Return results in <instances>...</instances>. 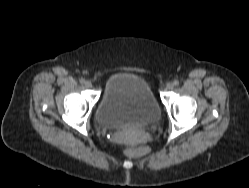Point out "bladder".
<instances>
[{
	"label": "bladder",
	"mask_w": 249,
	"mask_h": 188,
	"mask_svg": "<svg viewBox=\"0 0 249 188\" xmlns=\"http://www.w3.org/2000/svg\"><path fill=\"white\" fill-rule=\"evenodd\" d=\"M96 116L104 127H141L159 120L160 107L148 81L131 73H115L105 83Z\"/></svg>",
	"instance_id": "bladder-1"
}]
</instances>
